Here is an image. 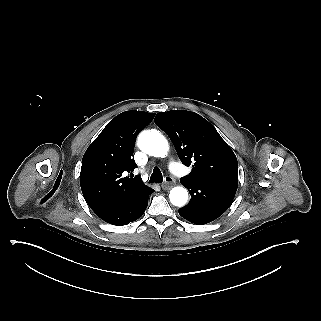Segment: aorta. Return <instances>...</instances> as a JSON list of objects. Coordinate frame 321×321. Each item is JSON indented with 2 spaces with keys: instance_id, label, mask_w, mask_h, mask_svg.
I'll use <instances>...</instances> for the list:
<instances>
[{
  "instance_id": "762f6f07",
  "label": "aorta",
  "mask_w": 321,
  "mask_h": 321,
  "mask_svg": "<svg viewBox=\"0 0 321 321\" xmlns=\"http://www.w3.org/2000/svg\"><path fill=\"white\" fill-rule=\"evenodd\" d=\"M138 146L146 154L164 158L169 150L167 139L157 130L143 131L138 137ZM170 202L177 207H182L188 200V192L182 186L171 189Z\"/></svg>"
}]
</instances>
